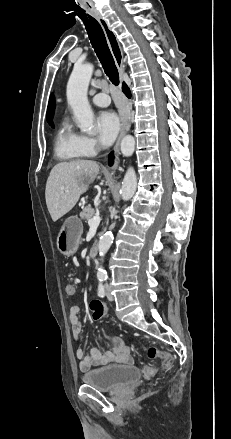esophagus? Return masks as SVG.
Instances as JSON below:
<instances>
[{"label": "esophagus", "mask_w": 231, "mask_h": 439, "mask_svg": "<svg viewBox=\"0 0 231 439\" xmlns=\"http://www.w3.org/2000/svg\"><path fill=\"white\" fill-rule=\"evenodd\" d=\"M93 16L99 22L100 26L103 29V32L106 36L108 45H109L111 53H112V56L114 58L116 67H117L120 75L122 76L124 73L123 53H122L120 44L116 38V35L113 32V30L111 29V27L109 26V24L107 23V21L100 14L95 13V14H93ZM130 125H131L130 119H129V117H127L123 122L119 137H118L116 144L114 146L115 162H114L112 169H116L119 165V162H120V159H119L120 142H121L122 138L124 137V135L129 131Z\"/></svg>", "instance_id": "34e87169"}]
</instances>
